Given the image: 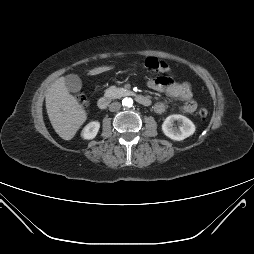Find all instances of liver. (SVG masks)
Here are the masks:
<instances>
[{"instance_id": "1", "label": "liver", "mask_w": 254, "mask_h": 254, "mask_svg": "<svg viewBox=\"0 0 254 254\" xmlns=\"http://www.w3.org/2000/svg\"><path fill=\"white\" fill-rule=\"evenodd\" d=\"M113 69L112 66H101L89 71V75H98ZM46 109L55 132L64 140H71L87 115L77 99L69 93L65 78H58L46 94Z\"/></svg>"}]
</instances>
